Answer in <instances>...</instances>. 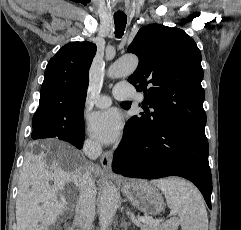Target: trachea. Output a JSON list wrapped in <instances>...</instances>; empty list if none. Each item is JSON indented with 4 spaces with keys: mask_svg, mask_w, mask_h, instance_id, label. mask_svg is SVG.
Masks as SVG:
<instances>
[{
    "mask_svg": "<svg viewBox=\"0 0 241 230\" xmlns=\"http://www.w3.org/2000/svg\"><path fill=\"white\" fill-rule=\"evenodd\" d=\"M114 23H115V36L121 38L124 34V30L127 23V16L125 14H114Z\"/></svg>",
    "mask_w": 241,
    "mask_h": 230,
    "instance_id": "3493384b",
    "label": "trachea"
}]
</instances>
